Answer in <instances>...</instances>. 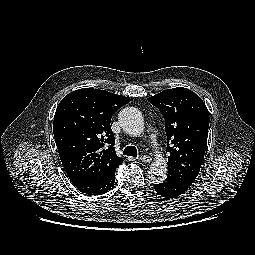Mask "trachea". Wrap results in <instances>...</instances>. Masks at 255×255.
<instances>
[{"instance_id": "obj_1", "label": "trachea", "mask_w": 255, "mask_h": 255, "mask_svg": "<svg viewBox=\"0 0 255 255\" xmlns=\"http://www.w3.org/2000/svg\"><path fill=\"white\" fill-rule=\"evenodd\" d=\"M123 154L126 155V156H132V157H137L138 156L137 149L134 146H127L124 149Z\"/></svg>"}]
</instances>
